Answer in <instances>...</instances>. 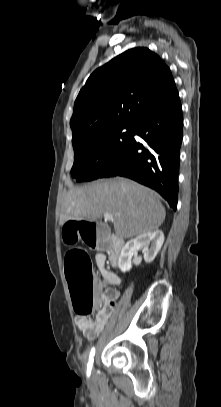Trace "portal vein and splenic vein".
<instances>
[{"mask_svg": "<svg viewBox=\"0 0 221 407\" xmlns=\"http://www.w3.org/2000/svg\"><path fill=\"white\" fill-rule=\"evenodd\" d=\"M104 219L113 221V215L109 214V213H106V214H104Z\"/></svg>", "mask_w": 221, "mask_h": 407, "instance_id": "obj_1", "label": "portal vein and splenic vein"}]
</instances>
